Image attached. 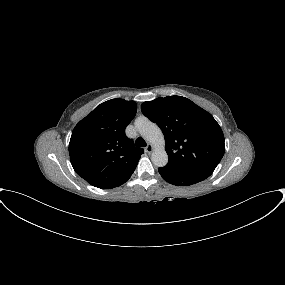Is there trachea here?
Here are the masks:
<instances>
[{"label":"trachea","instance_id":"obj_1","mask_svg":"<svg viewBox=\"0 0 285 285\" xmlns=\"http://www.w3.org/2000/svg\"><path fill=\"white\" fill-rule=\"evenodd\" d=\"M135 145L137 147H145L147 144H146V141L143 138H137L136 141H135Z\"/></svg>","mask_w":285,"mask_h":285}]
</instances>
